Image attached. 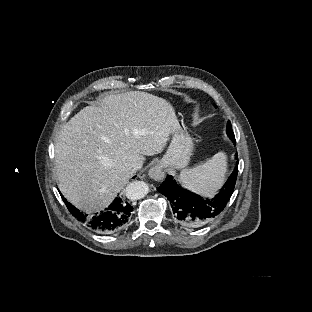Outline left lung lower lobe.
<instances>
[{
	"mask_svg": "<svg viewBox=\"0 0 312 312\" xmlns=\"http://www.w3.org/2000/svg\"><path fill=\"white\" fill-rule=\"evenodd\" d=\"M234 143L235 140H233ZM238 161L233 174L229 177L220 193L213 199L203 198L183 189L171 176H167L158 191L170 201L171 216L179 224L200 229L216 218L229 201L236 183Z\"/></svg>",
	"mask_w": 312,
	"mask_h": 312,
	"instance_id": "obj_1",
	"label": "left lung lower lobe"
}]
</instances>
